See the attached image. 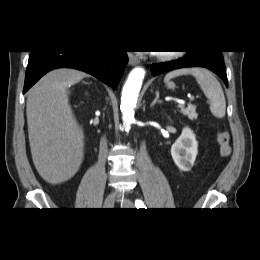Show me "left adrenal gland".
Wrapping results in <instances>:
<instances>
[{"mask_svg": "<svg viewBox=\"0 0 260 260\" xmlns=\"http://www.w3.org/2000/svg\"><path fill=\"white\" fill-rule=\"evenodd\" d=\"M156 103H162L161 100H159V91H156V97L155 99L153 100V102L151 103V107H153Z\"/></svg>", "mask_w": 260, "mask_h": 260, "instance_id": "a2214340", "label": "left adrenal gland"}]
</instances>
